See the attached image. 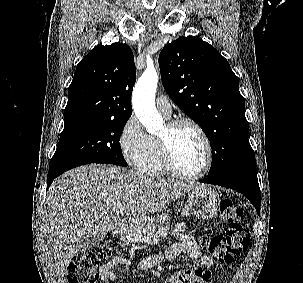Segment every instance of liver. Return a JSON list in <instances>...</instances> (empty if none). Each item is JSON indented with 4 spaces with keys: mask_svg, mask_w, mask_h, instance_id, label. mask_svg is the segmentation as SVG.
<instances>
[{
    "mask_svg": "<svg viewBox=\"0 0 303 283\" xmlns=\"http://www.w3.org/2000/svg\"><path fill=\"white\" fill-rule=\"evenodd\" d=\"M194 182L166 180L111 165H85L59 176L47 192L45 216L57 274L67 267L85 235H105L120 225L121 211L136 221L166 211Z\"/></svg>",
    "mask_w": 303,
    "mask_h": 283,
    "instance_id": "6515ba94",
    "label": "liver"
}]
</instances>
